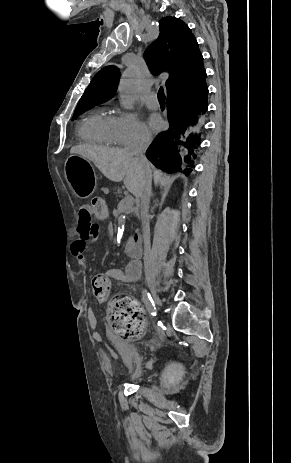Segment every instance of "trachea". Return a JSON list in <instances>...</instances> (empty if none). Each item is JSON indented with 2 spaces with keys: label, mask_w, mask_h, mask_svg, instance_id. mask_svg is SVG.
Segmentation results:
<instances>
[{
  "label": "trachea",
  "mask_w": 291,
  "mask_h": 463,
  "mask_svg": "<svg viewBox=\"0 0 291 463\" xmlns=\"http://www.w3.org/2000/svg\"><path fill=\"white\" fill-rule=\"evenodd\" d=\"M158 100L159 102H165V95H164V90L163 88H160L158 91Z\"/></svg>",
  "instance_id": "obj_1"
}]
</instances>
